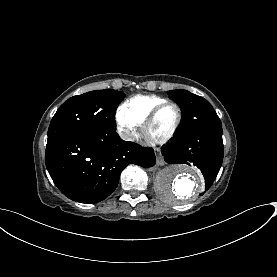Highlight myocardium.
<instances>
[{
	"label": "myocardium",
	"mask_w": 277,
	"mask_h": 277,
	"mask_svg": "<svg viewBox=\"0 0 277 277\" xmlns=\"http://www.w3.org/2000/svg\"><path fill=\"white\" fill-rule=\"evenodd\" d=\"M168 106H174L176 108V112H177V120H176V123L174 124L173 128L171 129V131L161 137V138H152L149 136V131L150 129L152 128V126L154 125L158 115L160 114V112L168 107ZM181 122H182V111H181V108L180 106L176 103V102H173V101H165V102H162L160 103L159 105H157L150 113V115L147 117V119L144 121L143 125H142V133L144 135V137L149 140L152 144H163V143H166L167 141H169L170 139H172L175 134L177 133L180 125H181Z\"/></svg>",
	"instance_id": "1"
}]
</instances>
